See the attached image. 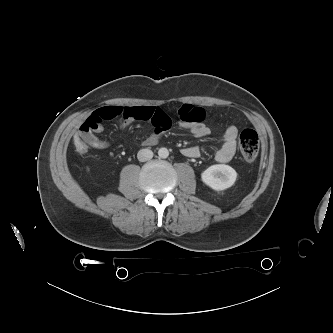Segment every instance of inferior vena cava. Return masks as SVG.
I'll return each instance as SVG.
<instances>
[{"mask_svg": "<svg viewBox=\"0 0 333 333\" xmlns=\"http://www.w3.org/2000/svg\"><path fill=\"white\" fill-rule=\"evenodd\" d=\"M153 157V152L150 149H141L137 154V158L140 162H145Z\"/></svg>", "mask_w": 333, "mask_h": 333, "instance_id": "1", "label": "inferior vena cava"}]
</instances>
